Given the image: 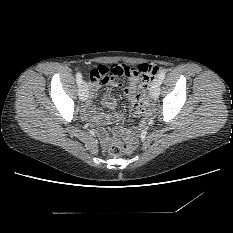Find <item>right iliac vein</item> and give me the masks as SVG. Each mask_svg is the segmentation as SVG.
Returning <instances> with one entry per match:
<instances>
[{"label": "right iliac vein", "instance_id": "63e3f726", "mask_svg": "<svg viewBox=\"0 0 233 233\" xmlns=\"http://www.w3.org/2000/svg\"><path fill=\"white\" fill-rule=\"evenodd\" d=\"M88 86L86 82H83L81 86L79 87V97L82 101L87 100L88 98Z\"/></svg>", "mask_w": 233, "mask_h": 233}]
</instances>
